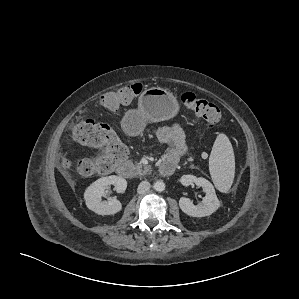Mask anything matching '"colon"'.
Masks as SVG:
<instances>
[{"label":"colon","instance_id":"5ec220e1","mask_svg":"<svg viewBox=\"0 0 299 299\" xmlns=\"http://www.w3.org/2000/svg\"><path fill=\"white\" fill-rule=\"evenodd\" d=\"M142 92L141 84H130L107 92L99 97L98 105L105 109H117L134 101ZM183 106L190 112L201 117L208 128H214L221 120V111L214 103L201 98L193 92H184L181 97ZM71 133L80 144L101 149V152L92 158L79 160L75 167L81 175H106L126 158L127 149L119 140L112 128L91 119L77 121ZM64 169H71L70 160L62 162Z\"/></svg>","mask_w":299,"mask_h":299}]
</instances>
